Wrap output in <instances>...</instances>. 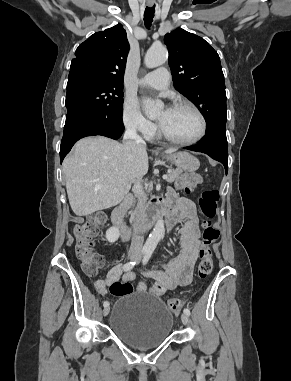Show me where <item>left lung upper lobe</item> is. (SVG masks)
<instances>
[{"label":"left lung upper lobe","instance_id":"obj_1","mask_svg":"<svg viewBox=\"0 0 291 381\" xmlns=\"http://www.w3.org/2000/svg\"><path fill=\"white\" fill-rule=\"evenodd\" d=\"M174 87L203 114L206 134L226 132V92L218 53L203 38L181 28L166 34Z\"/></svg>","mask_w":291,"mask_h":381}]
</instances>
